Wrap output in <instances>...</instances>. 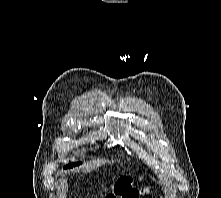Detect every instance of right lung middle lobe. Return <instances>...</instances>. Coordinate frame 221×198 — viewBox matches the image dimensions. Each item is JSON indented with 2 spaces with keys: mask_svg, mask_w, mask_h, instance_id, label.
I'll return each mask as SVG.
<instances>
[{
  "mask_svg": "<svg viewBox=\"0 0 221 198\" xmlns=\"http://www.w3.org/2000/svg\"><path fill=\"white\" fill-rule=\"evenodd\" d=\"M80 164H81V162L71 163V164L64 166V169L72 168V167H75Z\"/></svg>",
  "mask_w": 221,
  "mask_h": 198,
  "instance_id": "obj_1",
  "label": "right lung middle lobe"
}]
</instances>
